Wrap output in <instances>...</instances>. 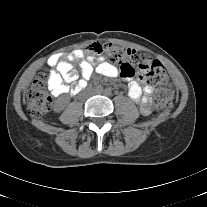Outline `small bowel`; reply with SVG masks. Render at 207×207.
Masks as SVG:
<instances>
[{"mask_svg": "<svg viewBox=\"0 0 207 207\" xmlns=\"http://www.w3.org/2000/svg\"><path fill=\"white\" fill-rule=\"evenodd\" d=\"M93 54L91 52L86 55L85 51L78 49L69 53L53 54L48 58L47 65L55 68L49 74V87L55 96L78 94L87 86L94 72L108 78H115L121 74L113 63L103 57L97 59ZM75 67L79 68L80 75ZM125 79L130 80L128 88L130 98L139 104L143 115L150 114L149 96L152 89L149 86L142 87L140 82L144 80L140 77L138 81L131 80L132 78Z\"/></svg>", "mask_w": 207, "mask_h": 207, "instance_id": "c3829d8e", "label": "small bowel"}]
</instances>
